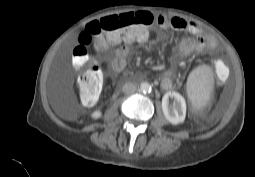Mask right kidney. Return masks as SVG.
<instances>
[{"label":"right kidney","instance_id":"right-kidney-1","mask_svg":"<svg viewBox=\"0 0 255 177\" xmlns=\"http://www.w3.org/2000/svg\"><path fill=\"white\" fill-rule=\"evenodd\" d=\"M101 116H102L101 111H94V112L91 114V117H92L93 119H98V118H100Z\"/></svg>","mask_w":255,"mask_h":177}]
</instances>
